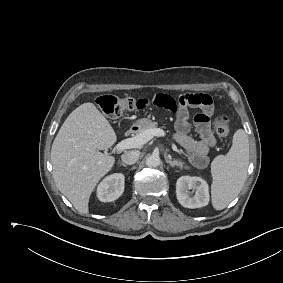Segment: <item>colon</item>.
<instances>
[{"label":"colon","instance_id":"obj_1","mask_svg":"<svg viewBox=\"0 0 283 283\" xmlns=\"http://www.w3.org/2000/svg\"><path fill=\"white\" fill-rule=\"evenodd\" d=\"M138 99L133 97L117 98L114 96H101L97 99L100 109L107 115L118 116L125 111H134L137 106ZM215 132L223 139H229L230 126L228 117L222 114L215 123Z\"/></svg>","mask_w":283,"mask_h":283}]
</instances>
